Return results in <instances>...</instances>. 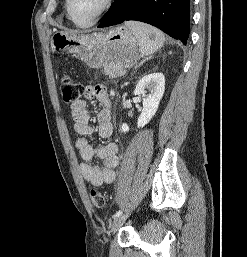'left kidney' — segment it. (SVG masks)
I'll return each instance as SVG.
<instances>
[{
  "label": "left kidney",
  "instance_id": "obj_1",
  "mask_svg": "<svg viewBox=\"0 0 247 257\" xmlns=\"http://www.w3.org/2000/svg\"><path fill=\"white\" fill-rule=\"evenodd\" d=\"M149 94H147V91ZM165 90V77L162 73H151L144 76L136 85L134 95L142 97L143 109L137 121V127H144L157 112L160 100ZM121 131L126 133L129 131V126L124 123L121 126Z\"/></svg>",
  "mask_w": 247,
  "mask_h": 257
}]
</instances>
